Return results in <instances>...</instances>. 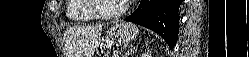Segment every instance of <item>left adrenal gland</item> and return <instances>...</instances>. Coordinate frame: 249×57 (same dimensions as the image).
<instances>
[{"mask_svg":"<svg viewBox=\"0 0 249 57\" xmlns=\"http://www.w3.org/2000/svg\"><path fill=\"white\" fill-rule=\"evenodd\" d=\"M134 51H135V47H131L128 49V51L126 52L124 56L128 57L130 54L134 53Z\"/></svg>","mask_w":249,"mask_h":57,"instance_id":"obj_1","label":"left adrenal gland"}]
</instances>
